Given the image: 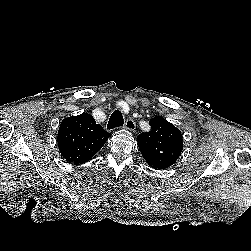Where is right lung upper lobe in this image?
Instances as JSON below:
<instances>
[{"mask_svg": "<svg viewBox=\"0 0 251 251\" xmlns=\"http://www.w3.org/2000/svg\"><path fill=\"white\" fill-rule=\"evenodd\" d=\"M110 136L90 114L83 113L61 122L57 142L61 156L78 165L91 160Z\"/></svg>", "mask_w": 251, "mask_h": 251, "instance_id": "cb5924a9", "label": "right lung upper lobe"}]
</instances>
